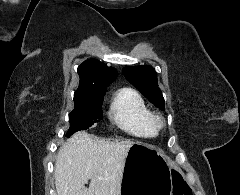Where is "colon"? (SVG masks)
Segmentation results:
<instances>
[{
	"label": "colon",
	"instance_id": "colon-1",
	"mask_svg": "<svg viewBox=\"0 0 240 195\" xmlns=\"http://www.w3.org/2000/svg\"><path fill=\"white\" fill-rule=\"evenodd\" d=\"M176 195H191V192L187 190V186H174Z\"/></svg>",
	"mask_w": 240,
	"mask_h": 195
}]
</instances>
